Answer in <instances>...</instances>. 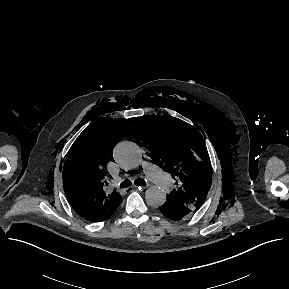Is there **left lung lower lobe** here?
I'll list each match as a JSON object with an SVG mask.
<instances>
[{"label": "left lung lower lobe", "mask_w": 289, "mask_h": 289, "mask_svg": "<svg viewBox=\"0 0 289 289\" xmlns=\"http://www.w3.org/2000/svg\"><path fill=\"white\" fill-rule=\"evenodd\" d=\"M159 209L166 218L173 221L184 219L194 212L185 205L175 204L170 201H166Z\"/></svg>", "instance_id": "1"}]
</instances>
